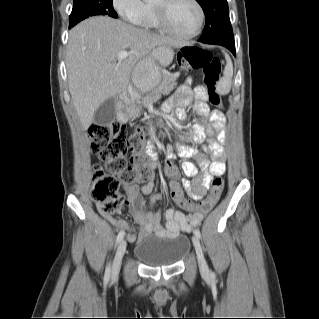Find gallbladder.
Masks as SVG:
<instances>
[{"label":"gallbladder","instance_id":"bac80fb5","mask_svg":"<svg viewBox=\"0 0 319 319\" xmlns=\"http://www.w3.org/2000/svg\"><path fill=\"white\" fill-rule=\"evenodd\" d=\"M116 117V99L110 98L102 103L94 113L96 125H107Z\"/></svg>","mask_w":319,"mask_h":319}]
</instances>
